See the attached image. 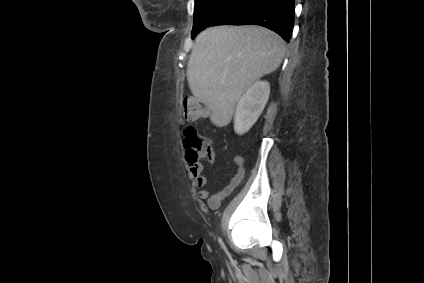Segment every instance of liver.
<instances>
[{"instance_id":"1","label":"liver","mask_w":424,"mask_h":283,"mask_svg":"<svg viewBox=\"0 0 424 283\" xmlns=\"http://www.w3.org/2000/svg\"><path fill=\"white\" fill-rule=\"evenodd\" d=\"M284 47L280 35L255 25L209 27L197 36L187 80L213 124L223 127L231 121L242 94L279 67Z\"/></svg>"}]
</instances>
